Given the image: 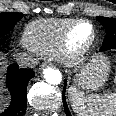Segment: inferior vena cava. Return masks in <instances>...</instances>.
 <instances>
[{
  "mask_svg": "<svg viewBox=\"0 0 116 116\" xmlns=\"http://www.w3.org/2000/svg\"><path fill=\"white\" fill-rule=\"evenodd\" d=\"M16 60L20 67L33 68L38 64L37 59H35L32 55L26 53L19 54Z\"/></svg>",
  "mask_w": 116,
  "mask_h": 116,
  "instance_id": "602c4592",
  "label": "inferior vena cava"
}]
</instances>
